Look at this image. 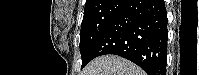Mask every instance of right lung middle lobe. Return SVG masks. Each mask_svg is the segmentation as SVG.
I'll use <instances>...</instances> for the list:
<instances>
[{"label":"right lung middle lobe","instance_id":"obj_1","mask_svg":"<svg viewBox=\"0 0 199 75\" xmlns=\"http://www.w3.org/2000/svg\"><path fill=\"white\" fill-rule=\"evenodd\" d=\"M127 1L106 0L100 6L84 10L80 31L81 68L91 61L93 47Z\"/></svg>","mask_w":199,"mask_h":75}]
</instances>
